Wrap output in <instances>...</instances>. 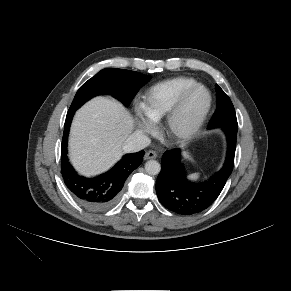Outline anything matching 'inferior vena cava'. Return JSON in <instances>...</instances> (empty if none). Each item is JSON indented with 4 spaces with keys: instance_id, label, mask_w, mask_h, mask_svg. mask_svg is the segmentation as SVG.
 <instances>
[{
    "instance_id": "602c4592",
    "label": "inferior vena cava",
    "mask_w": 291,
    "mask_h": 291,
    "mask_svg": "<svg viewBox=\"0 0 291 291\" xmlns=\"http://www.w3.org/2000/svg\"><path fill=\"white\" fill-rule=\"evenodd\" d=\"M150 144V139L141 131H134L124 142L123 150L127 153L138 152Z\"/></svg>"
}]
</instances>
